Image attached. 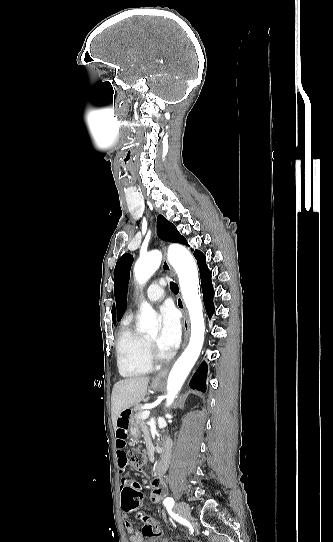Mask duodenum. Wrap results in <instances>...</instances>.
<instances>
[{
	"label": "duodenum",
	"mask_w": 333,
	"mask_h": 542,
	"mask_svg": "<svg viewBox=\"0 0 333 542\" xmlns=\"http://www.w3.org/2000/svg\"><path fill=\"white\" fill-rule=\"evenodd\" d=\"M168 443H167V449L162 457V459L158 462V464L155 465L154 471L156 476H162L168 466L169 461V450H168Z\"/></svg>",
	"instance_id": "410a0bca"
}]
</instances>
